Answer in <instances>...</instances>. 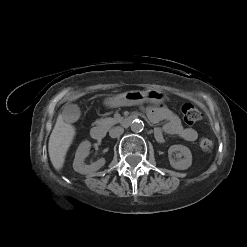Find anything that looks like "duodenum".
<instances>
[{
    "label": "duodenum",
    "mask_w": 247,
    "mask_h": 247,
    "mask_svg": "<svg viewBox=\"0 0 247 247\" xmlns=\"http://www.w3.org/2000/svg\"><path fill=\"white\" fill-rule=\"evenodd\" d=\"M134 120V117L133 116H129V117H126L123 119L122 121V124L125 126V127H128ZM106 134V131L104 129V127L102 126H94L91 128L90 130V135L91 137L94 139V140H102L104 138Z\"/></svg>",
    "instance_id": "obj_1"
}]
</instances>
